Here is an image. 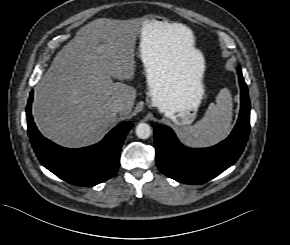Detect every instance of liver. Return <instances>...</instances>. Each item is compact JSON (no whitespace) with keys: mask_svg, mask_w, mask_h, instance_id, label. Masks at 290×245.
Here are the masks:
<instances>
[{"mask_svg":"<svg viewBox=\"0 0 290 245\" xmlns=\"http://www.w3.org/2000/svg\"><path fill=\"white\" fill-rule=\"evenodd\" d=\"M134 21L98 19L79 29L55 56L35 87L32 113L39 130L66 147L97 142L117 117L116 101L129 115L136 89L123 83L135 73V44L142 33ZM160 43H167L184 71L196 69L193 36L179 23L157 26ZM204 59V58H203ZM112 78L118 80L113 82Z\"/></svg>","mask_w":290,"mask_h":245,"instance_id":"obj_1","label":"liver"}]
</instances>
